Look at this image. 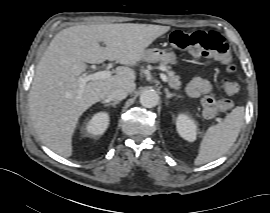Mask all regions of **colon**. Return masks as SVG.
<instances>
[{"label":"colon","mask_w":270,"mask_h":213,"mask_svg":"<svg viewBox=\"0 0 270 213\" xmlns=\"http://www.w3.org/2000/svg\"><path fill=\"white\" fill-rule=\"evenodd\" d=\"M172 46L185 51L194 57L213 58L223 64L228 72L235 71L236 67L231 62V51L225 39L215 31H195L185 33L175 31L170 37ZM220 86L225 94L224 98L211 95L202 99L203 111L206 115L215 116L224 113L231 106L230 97L240 91V85L233 79L225 78Z\"/></svg>","instance_id":"obj_1"}]
</instances>
